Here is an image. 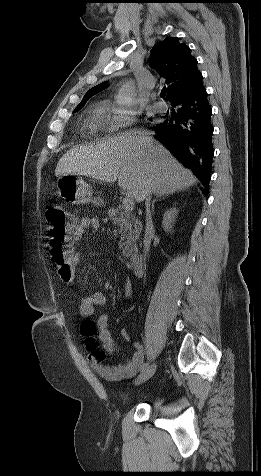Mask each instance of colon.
<instances>
[{"label":"colon","mask_w":261,"mask_h":476,"mask_svg":"<svg viewBox=\"0 0 261 476\" xmlns=\"http://www.w3.org/2000/svg\"><path fill=\"white\" fill-rule=\"evenodd\" d=\"M47 219V251L59 276L65 282H71L74 269L70 264L72 257L71 243L75 238L77 222L59 203H53L46 209ZM82 333L90 351H94L99 359L103 354L97 351V342L93 338L94 326L91 321L82 325Z\"/></svg>","instance_id":"colon-1"}]
</instances>
